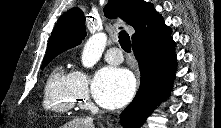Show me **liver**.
<instances>
[{"instance_id": "obj_1", "label": "liver", "mask_w": 221, "mask_h": 128, "mask_svg": "<svg viewBox=\"0 0 221 128\" xmlns=\"http://www.w3.org/2000/svg\"><path fill=\"white\" fill-rule=\"evenodd\" d=\"M63 128H94V124L90 119L74 118L65 124Z\"/></svg>"}]
</instances>
